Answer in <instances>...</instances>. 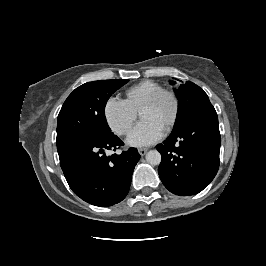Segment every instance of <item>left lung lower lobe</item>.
Here are the masks:
<instances>
[{
    "label": "left lung lower lobe",
    "instance_id": "obj_1",
    "mask_svg": "<svg viewBox=\"0 0 266 266\" xmlns=\"http://www.w3.org/2000/svg\"><path fill=\"white\" fill-rule=\"evenodd\" d=\"M220 144L214 107L194 114L156 147L162 156L158 173L164 186L182 196L201 192L217 174Z\"/></svg>",
    "mask_w": 266,
    "mask_h": 266
}]
</instances>
